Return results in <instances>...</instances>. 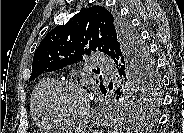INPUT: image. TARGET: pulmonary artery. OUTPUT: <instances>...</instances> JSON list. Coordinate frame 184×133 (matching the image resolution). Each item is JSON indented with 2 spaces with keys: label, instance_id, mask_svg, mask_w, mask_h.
<instances>
[{
  "label": "pulmonary artery",
  "instance_id": "1",
  "mask_svg": "<svg viewBox=\"0 0 184 133\" xmlns=\"http://www.w3.org/2000/svg\"><path fill=\"white\" fill-rule=\"evenodd\" d=\"M93 60L96 66L103 71L110 70L114 68L113 61L104 55L94 56Z\"/></svg>",
  "mask_w": 184,
  "mask_h": 133
}]
</instances>
